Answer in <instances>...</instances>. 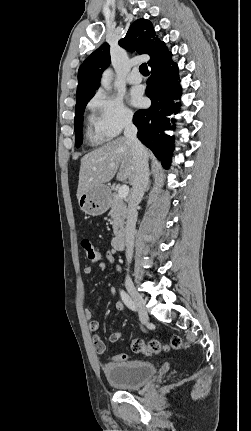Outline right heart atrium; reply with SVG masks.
I'll use <instances>...</instances> for the list:
<instances>
[{
	"label": "right heart atrium",
	"instance_id": "1",
	"mask_svg": "<svg viewBox=\"0 0 251 431\" xmlns=\"http://www.w3.org/2000/svg\"><path fill=\"white\" fill-rule=\"evenodd\" d=\"M88 109L95 135L101 139L117 136L133 120V112L122 97L103 90L94 93L88 102Z\"/></svg>",
	"mask_w": 251,
	"mask_h": 431
}]
</instances>
